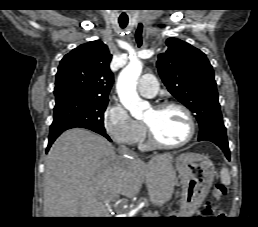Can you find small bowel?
<instances>
[{
    "instance_id": "c3829d8e",
    "label": "small bowel",
    "mask_w": 258,
    "mask_h": 227,
    "mask_svg": "<svg viewBox=\"0 0 258 227\" xmlns=\"http://www.w3.org/2000/svg\"><path fill=\"white\" fill-rule=\"evenodd\" d=\"M213 212L212 207L208 204L204 210V214L211 215Z\"/></svg>"
}]
</instances>
